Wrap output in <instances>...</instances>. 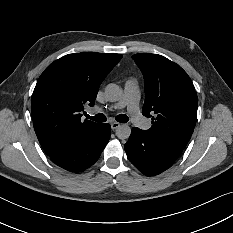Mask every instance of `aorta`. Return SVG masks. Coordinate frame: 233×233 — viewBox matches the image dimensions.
<instances>
[{"mask_svg":"<svg viewBox=\"0 0 233 233\" xmlns=\"http://www.w3.org/2000/svg\"><path fill=\"white\" fill-rule=\"evenodd\" d=\"M122 93V89L114 83L108 84L105 88L106 99L110 102L118 101L121 98ZM130 134L131 128L128 126V124H121L116 130V136L119 139H128Z\"/></svg>","mask_w":233,"mask_h":233,"instance_id":"1","label":"aorta"}]
</instances>
